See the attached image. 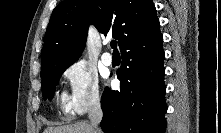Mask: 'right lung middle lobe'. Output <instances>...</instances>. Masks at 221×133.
Here are the masks:
<instances>
[{
  "instance_id": "dd1d6c3e",
  "label": "right lung middle lobe",
  "mask_w": 221,
  "mask_h": 133,
  "mask_svg": "<svg viewBox=\"0 0 221 133\" xmlns=\"http://www.w3.org/2000/svg\"><path fill=\"white\" fill-rule=\"evenodd\" d=\"M74 62H64L48 65L41 70L42 93L44 99H51L54 94L55 86L59 82L62 73Z\"/></svg>"
}]
</instances>
